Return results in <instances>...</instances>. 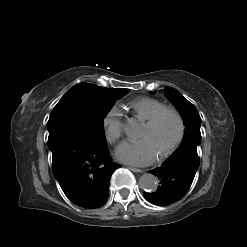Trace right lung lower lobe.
Wrapping results in <instances>:
<instances>
[{
  "label": "right lung lower lobe",
  "mask_w": 247,
  "mask_h": 247,
  "mask_svg": "<svg viewBox=\"0 0 247 247\" xmlns=\"http://www.w3.org/2000/svg\"><path fill=\"white\" fill-rule=\"evenodd\" d=\"M52 170L65 195L74 204L101 207L109 194L112 173L120 166L111 162L107 145H98L73 132H49Z\"/></svg>",
  "instance_id": "1"
}]
</instances>
